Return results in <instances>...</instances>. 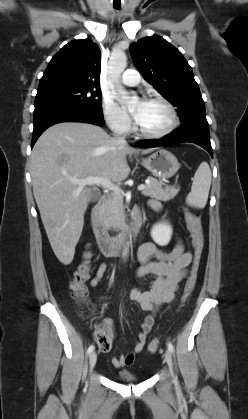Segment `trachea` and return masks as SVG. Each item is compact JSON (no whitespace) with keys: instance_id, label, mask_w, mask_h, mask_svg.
<instances>
[{"instance_id":"1","label":"trachea","mask_w":248,"mask_h":419,"mask_svg":"<svg viewBox=\"0 0 248 419\" xmlns=\"http://www.w3.org/2000/svg\"><path fill=\"white\" fill-rule=\"evenodd\" d=\"M115 8H116V9H119L120 7H119V6H115Z\"/></svg>"}]
</instances>
